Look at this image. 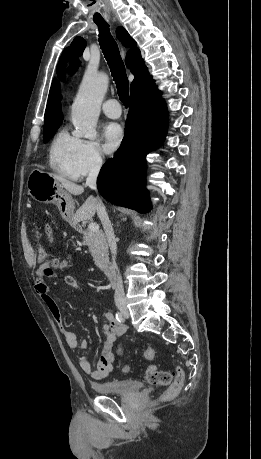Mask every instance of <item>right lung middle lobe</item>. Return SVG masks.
<instances>
[{"instance_id":"1","label":"right lung middle lobe","mask_w":261,"mask_h":459,"mask_svg":"<svg viewBox=\"0 0 261 459\" xmlns=\"http://www.w3.org/2000/svg\"><path fill=\"white\" fill-rule=\"evenodd\" d=\"M61 123L44 125L43 141L46 143L59 128Z\"/></svg>"}]
</instances>
